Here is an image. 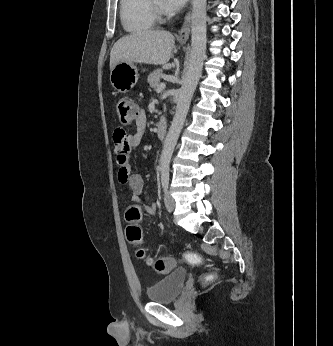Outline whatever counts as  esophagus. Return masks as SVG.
Listing matches in <instances>:
<instances>
[{"mask_svg":"<svg viewBox=\"0 0 333 346\" xmlns=\"http://www.w3.org/2000/svg\"><path fill=\"white\" fill-rule=\"evenodd\" d=\"M190 29H191V13L188 11V13L185 16L184 23L179 31V40L186 42L190 35Z\"/></svg>","mask_w":333,"mask_h":346,"instance_id":"1","label":"esophagus"}]
</instances>
